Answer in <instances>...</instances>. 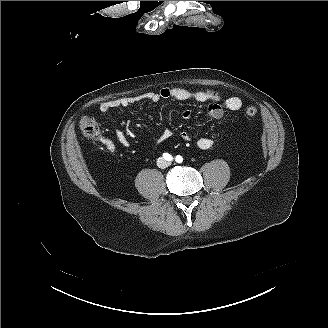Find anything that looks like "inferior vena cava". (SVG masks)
<instances>
[{
	"mask_svg": "<svg viewBox=\"0 0 328 328\" xmlns=\"http://www.w3.org/2000/svg\"><path fill=\"white\" fill-rule=\"evenodd\" d=\"M158 161H163V162H164L165 160H164V159H162V158H159V159H158Z\"/></svg>",
	"mask_w": 328,
	"mask_h": 328,
	"instance_id": "602c4592",
	"label": "inferior vena cava"
}]
</instances>
